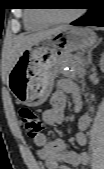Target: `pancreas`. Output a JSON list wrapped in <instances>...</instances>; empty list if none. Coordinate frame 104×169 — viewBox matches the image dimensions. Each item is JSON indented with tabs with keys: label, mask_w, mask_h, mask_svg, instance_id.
Returning a JSON list of instances; mask_svg holds the SVG:
<instances>
[{
	"label": "pancreas",
	"mask_w": 104,
	"mask_h": 169,
	"mask_svg": "<svg viewBox=\"0 0 104 169\" xmlns=\"http://www.w3.org/2000/svg\"><path fill=\"white\" fill-rule=\"evenodd\" d=\"M63 66H68L71 69H73L72 72L63 71L62 73L65 76H69V77L83 76L85 73L84 70L85 62L80 57V55L66 56L65 59L63 60Z\"/></svg>",
	"instance_id": "obj_1"
}]
</instances>
